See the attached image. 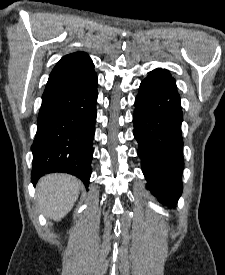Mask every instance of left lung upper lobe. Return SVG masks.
I'll list each match as a JSON object with an SVG mask.
<instances>
[{
	"label": "left lung upper lobe",
	"instance_id": "5c2ea615",
	"mask_svg": "<svg viewBox=\"0 0 225 275\" xmlns=\"http://www.w3.org/2000/svg\"><path fill=\"white\" fill-rule=\"evenodd\" d=\"M158 70H160V71H162V72H165V73L169 74L167 70H164V69H158ZM169 75H170V74H169Z\"/></svg>",
	"mask_w": 225,
	"mask_h": 275
}]
</instances>
